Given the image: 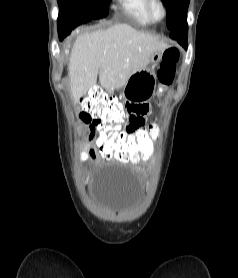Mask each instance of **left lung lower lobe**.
<instances>
[{
  "label": "left lung lower lobe",
  "instance_id": "left-lung-lower-lobe-1",
  "mask_svg": "<svg viewBox=\"0 0 238 278\" xmlns=\"http://www.w3.org/2000/svg\"><path fill=\"white\" fill-rule=\"evenodd\" d=\"M187 35H188V25H187V14L182 16L178 24L170 30L171 38L177 40L183 47H187Z\"/></svg>",
  "mask_w": 238,
  "mask_h": 278
}]
</instances>
